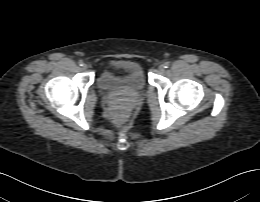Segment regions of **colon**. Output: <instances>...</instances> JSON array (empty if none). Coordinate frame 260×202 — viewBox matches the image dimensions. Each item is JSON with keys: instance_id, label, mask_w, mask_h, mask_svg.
I'll use <instances>...</instances> for the list:
<instances>
[{"instance_id": "colon-1", "label": "colon", "mask_w": 260, "mask_h": 202, "mask_svg": "<svg viewBox=\"0 0 260 202\" xmlns=\"http://www.w3.org/2000/svg\"><path fill=\"white\" fill-rule=\"evenodd\" d=\"M129 114V110L125 106H117L113 109V119L118 122H124Z\"/></svg>"}]
</instances>
